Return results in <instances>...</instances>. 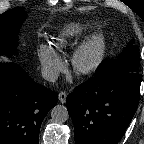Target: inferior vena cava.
Returning <instances> with one entry per match:
<instances>
[{
	"label": "inferior vena cava",
	"mask_w": 144,
	"mask_h": 144,
	"mask_svg": "<svg viewBox=\"0 0 144 144\" xmlns=\"http://www.w3.org/2000/svg\"><path fill=\"white\" fill-rule=\"evenodd\" d=\"M42 76L47 81L55 82L58 79L59 71L56 68H45L42 70Z\"/></svg>",
	"instance_id": "inferior-vena-cava-1"
}]
</instances>
